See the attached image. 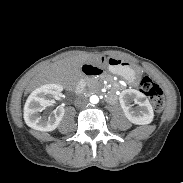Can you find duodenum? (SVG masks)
<instances>
[{"instance_id":"410a0bca","label":"duodenum","mask_w":183,"mask_h":183,"mask_svg":"<svg viewBox=\"0 0 183 183\" xmlns=\"http://www.w3.org/2000/svg\"><path fill=\"white\" fill-rule=\"evenodd\" d=\"M102 70L95 65H87L83 67V75L84 77H98L101 76Z\"/></svg>"}]
</instances>
